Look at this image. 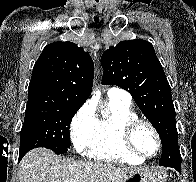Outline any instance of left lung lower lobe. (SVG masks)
<instances>
[{"mask_svg":"<svg viewBox=\"0 0 196 182\" xmlns=\"http://www.w3.org/2000/svg\"><path fill=\"white\" fill-rule=\"evenodd\" d=\"M161 159L164 160V163L175 165V169H181V163H178V159H180L179 153H177L173 148L166 146L162 147Z\"/></svg>","mask_w":196,"mask_h":182,"instance_id":"obj_1","label":"left lung lower lobe"}]
</instances>
